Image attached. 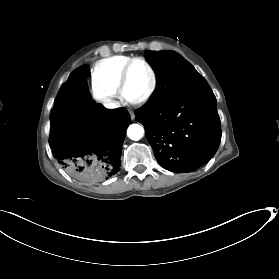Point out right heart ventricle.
<instances>
[{
    "label": "right heart ventricle",
    "instance_id": "e07e8e85",
    "mask_svg": "<svg viewBox=\"0 0 279 279\" xmlns=\"http://www.w3.org/2000/svg\"><path fill=\"white\" fill-rule=\"evenodd\" d=\"M133 57L111 56L99 60L91 69L90 77L93 85L104 87L113 95H118L119 75L124 65Z\"/></svg>",
    "mask_w": 279,
    "mask_h": 279
}]
</instances>
